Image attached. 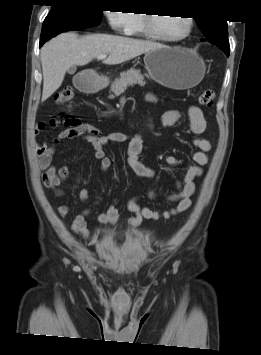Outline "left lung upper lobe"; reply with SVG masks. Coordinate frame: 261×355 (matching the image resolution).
I'll return each instance as SVG.
<instances>
[{
	"label": "left lung upper lobe",
	"mask_w": 261,
	"mask_h": 355,
	"mask_svg": "<svg viewBox=\"0 0 261 355\" xmlns=\"http://www.w3.org/2000/svg\"><path fill=\"white\" fill-rule=\"evenodd\" d=\"M195 20L206 39L218 46L227 56H229L230 48L227 21L206 18H195Z\"/></svg>",
	"instance_id": "1"
}]
</instances>
